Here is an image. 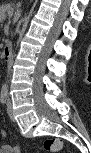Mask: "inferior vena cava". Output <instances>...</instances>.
I'll return each mask as SVG.
<instances>
[{"instance_id":"inferior-vena-cava-1","label":"inferior vena cava","mask_w":91,"mask_h":153,"mask_svg":"<svg viewBox=\"0 0 91 153\" xmlns=\"http://www.w3.org/2000/svg\"><path fill=\"white\" fill-rule=\"evenodd\" d=\"M13 62V61H12ZM9 70H12V67H9Z\"/></svg>"}]
</instances>
